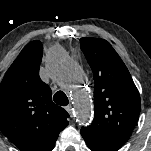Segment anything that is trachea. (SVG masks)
I'll return each instance as SVG.
<instances>
[{"label":"trachea","instance_id":"obj_1","mask_svg":"<svg viewBox=\"0 0 151 151\" xmlns=\"http://www.w3.org/2000/svg\"><path fill=\"white\" fill-rule=\"evenodd\" d=\"M54 102L60 106H66L68 105V97L66 94L62 91H58L53 96Z\"/></svg>","mask_w":151,"mask_h":151}]
</instances>
